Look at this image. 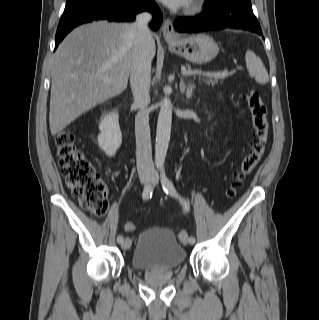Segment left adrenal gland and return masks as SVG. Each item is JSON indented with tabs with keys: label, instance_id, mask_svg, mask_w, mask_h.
I'll return each mask as SVG.
<instances>
[{
	"label": "left adrenal gland",
	"instance_id": "1",
	"mask_svg": "<svg viewBox=\"0 0 319 320\" xmlns=\"http://www.w3.org/2000/svg\"><path fill=\"white\" fill-rule=\"evenodd\" d=\"M195 88L194 84L185 85L184 79L181 78L180 81V91L186 94V97L190 99L193 95V89Z\"/></svg>",
	"mask_w": 319,
	"mask_h": 320
}]
</instances>
